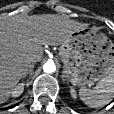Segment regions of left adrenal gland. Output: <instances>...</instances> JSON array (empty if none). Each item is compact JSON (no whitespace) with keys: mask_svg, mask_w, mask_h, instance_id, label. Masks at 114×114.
Wrapping results in <instances>:
<instances>
[{"mask_svg":"<svg viewBox=\"0 0 114 114\" xmlns=\"http://www.w3.org/2000/svg\"><path fill=\"white\" fill-rule=\"evenodd\" d=\"M61 77H62L63 80H65V72H64V70H63V72H62Z\"/></svg>","mask_w":114,"mask_h":114,"instance_id":"1","label":"left adrenal gland"}]
</instances>
